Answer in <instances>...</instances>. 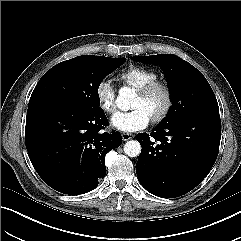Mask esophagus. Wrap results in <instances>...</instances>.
I'll use <instances>...</instances> for the list:
<instances>
[{
	"label": "esophagus",
	"mask_w": 241,
	"mask_h": 241,
	"mask_svg": "<svg viewBox=\"0 0 241 241\" xmlns=\"http://www.w3.org/2000/svg\"><path fill=\"white\" fill-rule=\"evenodd\" d=\"M134 136H133V134H131V133H122V139L124 140V141H128V140H130V139H132Z\"/></svg>",
	"instance_id": "34e87169"
}]
</instances>
